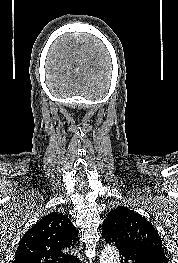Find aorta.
Listing matches in <instances>:
<instances>
[{"label":"aorta","instance_id":"1","mask_svg":"<svg viewBox=\"0 0 178 263\" xmlns=\"http://www.w3.org/2000/svg\"><path fill=\"white\" fill-rule=\"evenodd\" d=\"M99 263H120V256L117 249L106 245L101 251Z\"/></svg>","mask_w":178,"mask_h":263}]
</instances>
